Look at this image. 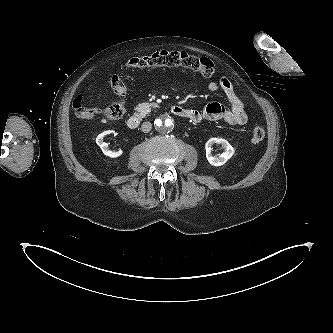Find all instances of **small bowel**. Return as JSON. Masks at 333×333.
<instances>
[{
    "label": "small bowel",
    "instance_id": "obj_1",
    "mask_svg": "<svg viewBox=\"0 0 333 333\" xmlns=\"http://www.w3.org/2000/svg\"><path fill=\"white\" fill-rule=\"evenodd\" d=\"M211 92L221 91L225 95L229 108H225L218 102L207 104L202 110L185 109L183 116L193 122L223 121L229 125H244L247 122V114L242 101L236 95L231 81L227 77H221L208 85Z\"/></svg>",
    "mask_w": 333,
    "mask_h": 333
}]
</instances>
